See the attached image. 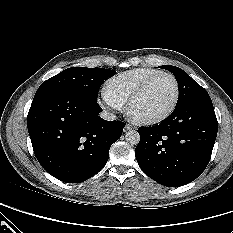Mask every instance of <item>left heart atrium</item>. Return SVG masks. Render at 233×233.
Wrapping results in <instances>:
<instances>
[{
	"label": "left heart atrium",
	"instance_id": "obj_1",
	"mask_svg": "<svg viewBox=\"0 0 233 233\" xmlns=\"http://www.w3.org/2000/svg\"><path fill=\"white\" fill-rule=\"evenodd\" d=\"M129 116L134 121H139L140 120V117L138 115L133 114V113L131 115H129Z\"/></svg>",
	"mask_w": 233,
	"mask_h": 233
}]
</instances>
